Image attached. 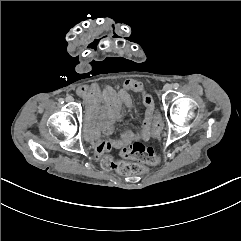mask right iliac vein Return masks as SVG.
<instances>
[{
  "instance_id": "1",
  "label": "right iliac vein",
  "mask_w": 241,
  "mask_h": 241,
  "mask_svg": "<svg viewBox=\"0 0 241 241\" xmlns=\"http://www.w3.org/2000/svg\"><path fill=\"white\" fill-rule=\"evenodd\" d=\"M74 99L71 97V96H68L67 98H66V102H71V101H73Z\"/></svg>"
}]
</instances>
